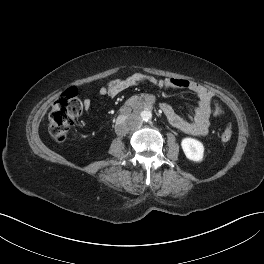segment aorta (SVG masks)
I'll return each instance as SVG.
<instances>
[{"label": "aorta", "mask_w": 264, "mask_h": 264, "mask_svg": "<svg viewBox=\"0 0 264 264\" xmlns=\"http://www.w3.org/2000/svg\"><path fill=\"white\" fill-rule=\"evenodd\" d=\"M137 117L142 121H149L152 118V113L149 110H143L137 115Z\"/></svg>", "instance_id": "762f6f07"}]
</instances>
